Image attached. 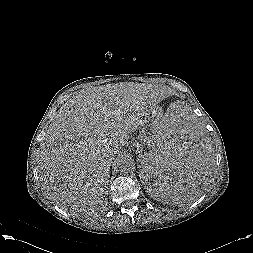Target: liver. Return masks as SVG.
<instances>
[{
	"label": "liver",
	"instance_id": "6515ba94",
	"mask_svg": "<svg viewBox=\"0 0 253 253\" xmlns=\"http://www.w3.org/2000/svg\"><path fill=\"white\" fill-rule=\"evenodd\" d=\"M167 91L161 85L122 82L80 90L63 104L38 157L50 199L80 216L103 211L114 156Z\"/></svg>",
	"mask_w": 253,
	"mask_h": 253
}]
</instances>
